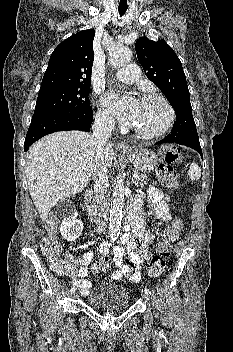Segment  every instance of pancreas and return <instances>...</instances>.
I'll list each match as a JSON object with an SVG mask.
<instances>
[{
	"label": "pancreas",
	"mask_w": 233,
	"mask_h": 352,
	"mask_svg": "<svg viewBox=\"0 0 233 352\" xmlns=\"http://www.w3.org/2000/svg\"><path fill=\"white\" fill-rule=\"evenodd\" d=\"M135 184L138 187H144L147 184V176L144 174L139 175L137 178L134 179Z\"/></svg>",
	"instance_id": "1"
}]
</instances>
